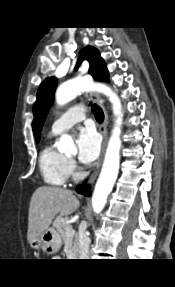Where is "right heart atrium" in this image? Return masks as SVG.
<instances>
[{"label":"right heart atrium","mask_w":175,"mask_h":287,"mask_svg":"<svg viewBox=\"0 0 175 287\" xmlns=\"http://www.w3.org/2000/svg\"><path fill=\"white\" fill-rule=\"evenodd\" d=\"M67 167L70 176H76L78 174V168L74 160H67Z\"/></svg>","instance_id":"1"}]
</instances>
